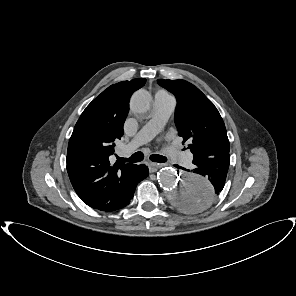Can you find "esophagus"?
<instances>
[{
	"instance_id": "obj_1",
	"label": "esophagus",
	"mask_w": 296,
	"mask_h": 296,
	"mask_svg": "<svg viewBox=\"0 0 296 296\" xmlns=\"http://www.w3.org/2000/svg\"><path fill=\"white\" fill-rule=\"evenodd\" d=\"M164 164H160V163H154V162H149L148 163V168H149V171L152 173V172H155L157 171L160 167H162Z\"/></svg>"
}]
</instances>
